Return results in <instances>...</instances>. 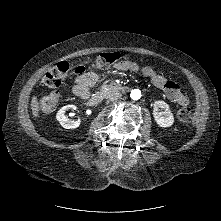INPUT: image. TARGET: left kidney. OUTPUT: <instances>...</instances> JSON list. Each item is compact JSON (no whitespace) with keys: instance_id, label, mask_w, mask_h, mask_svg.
Returning <instances> with one entry per match:
<instances>
[{"instance_id":"1","label":"left kidney","mask_w":221,"mask_h":221,"mask_svg":"<svg viewBox=\"0 0 221 221\" xmlns=\"http://www.w3.org/2000/svg\"><path fill=\"white\" fill-rule=\"evenodd\" d=\"M158 108L163 109V112H158ZM153 116L156 123L160 127H170L174 122L173 114L169 108V105L164 101H155Z\"/></svg>"}]
</instances>
